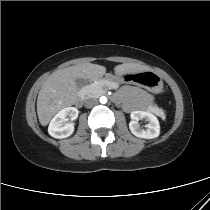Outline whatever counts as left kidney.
Instances as JSON below:
<instances>
[{
	"label": "left kidney",
	"instance_id": "5707ae66",
	"mask_svg": "<svg viewBox=\"0 0 210 210\" xmlns=\"http://www.w3.org/2000/svg\"><path fill=\"white\" fill-rule=\"evenodd\" d=\"M132 121L129 123L130 131L133 135L144 139L157 138L160 135V124L155 115L148 111H134L131 113ZM145 118L149 123L147 129H141L138 121Z\"/></svg>",
	"mask_w": 210,
	"mask_h": 210
}]
</instances>
